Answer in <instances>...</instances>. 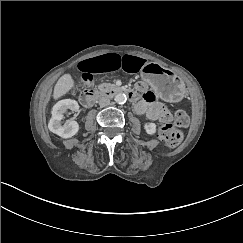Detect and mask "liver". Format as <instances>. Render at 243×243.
I'll use <instances>...</instances> for the list:
<instances>
[{
	"instance_id": "1",
	"label": "liver",
	"mask_w": 243,
	"mask_h": 243,
	"mask_svg": "<svg viewBox=\"0 0 243 243\" xmlns=\"http://www.w3.org/2000/svg\"><path fill=\"white\" fill-rule=\"evenodd\" d=\"M75 88V80L70 73H65L57 80L52 94L53 101L61 99Z\"/></svg>"
}]
</instances>
